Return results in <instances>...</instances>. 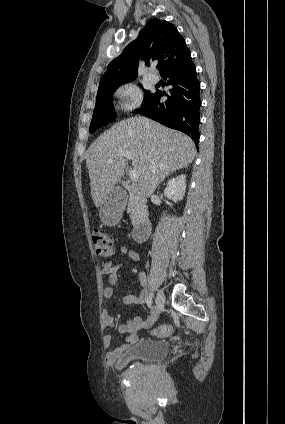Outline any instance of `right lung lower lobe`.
<instances>
[{"label": "right lung lower lobe", "instance_id": "right-lung-lower-lobe-1", "mask_svg": "<svg viewBox=\"0 0 285 424\" xmlns=\"http://www.w3.org/2000/svg\"><path fill=\"white\" fill-rule=\"evenodd\" d=\"M162 77L167 79V84L172 88L167 93L156 91L143 107L133 113L145 115L167 127L187 134L198 146L200 83L191 57ZM163 96H166L167 100L160 102Z\"/></svg>", "mask_w": 285, "mask_h": 424}]
</instances>
